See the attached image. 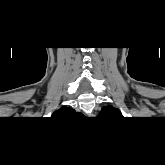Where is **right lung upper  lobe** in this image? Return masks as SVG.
Masks as SVG:
<instances>
[{"label": "right lung upper lobe", "mask_w": 165, "mask_h": 165, "mask_svg": "<svg viewBox=\"0 0 165 165\" xmlns=\"http://www.w3.org/2000/svg\"><path fill=\"white\" fill-rule=\"evenodd\" d=\"M75 113V110L70 107H61L59 110L55 111L51 117L57 118V117H66L73 115Z\"/></svg>", "instance_id": "obj_1"}]
</instances>
